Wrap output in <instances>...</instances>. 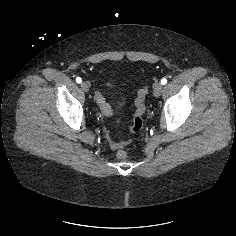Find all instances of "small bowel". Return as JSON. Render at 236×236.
<instances>
[{"mask_svg": "<svg viewBox=\"0 0 236 236\" xmlns=\"http://www.w3.org/2000/svg\"><path fill=\"white\" fill-rule=\"evenodd\" d=\"M112 89H114V86L112 84L109 85ZM95 100L97 104L100 106L101 111L104 116H111L113 114V111L111 109V106L106 102L103 94L101 91H97L95 94Z\"/></svg>", "mask_w": 236, "mask_h": 236, "instance_id": "obj_1", "label": "small bowel"}]
</instances>
